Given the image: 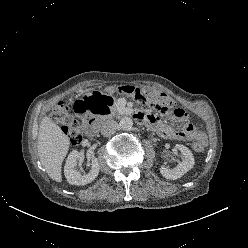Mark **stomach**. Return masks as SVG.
Instances as JSON below:
<instances>
[{"instance_id": "stomach-1", "label": "stomach", "mask_w": 248, "mask_h": 248, "mask_svg": "<svg viewBox=\"0 0 248 248\" xmlns=\"http://www.w3.org/2000/svg\"><path fill=\"white\" fill-rule=\"evenodd\" d=\"M116 107L113 97L104 91L92 89L75 102L74 111L80 117L92 114L99 119H106L115 112Z\"/></svg>"}]
</instances>
